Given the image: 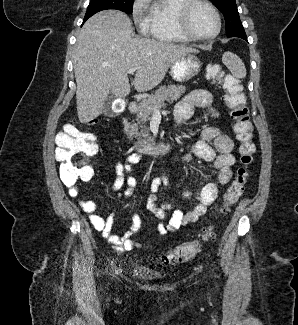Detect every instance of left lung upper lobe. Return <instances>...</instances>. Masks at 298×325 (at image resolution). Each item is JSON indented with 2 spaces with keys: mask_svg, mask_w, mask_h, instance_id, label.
<instances>
[{
  "mask_svg": "<svg viewBox=\"0 0 298 325\" xmlns=\"http://www.w3.org/2000/svg\"><path fill=\"white\" fill-rule=\"evenodd\" d=\"M223 13L226 23L227 37L244 34L235 0H211Z\"/></svg>",
  "mask_w": 298,
  "mask_h": 325,
  "instance_id": "obj_1",
  "label": "left lung upper lobe"
}]
</instances>
